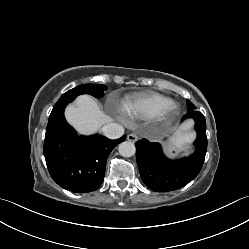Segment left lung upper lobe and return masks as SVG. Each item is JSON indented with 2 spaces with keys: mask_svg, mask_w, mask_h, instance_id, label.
I'll list each match as a JSON object with an SVG mask.
<instances>
[{
  "mask_svg": "<svg viewBox=\"0 0 249 249\" xmlns=\"http://www.w3.org/2000/svg\"><path fill=\"white\" fill-rule=\"evenodd\" d=\"M187 109H188V112H190V111L195 110L196 107L189 100H187Z\"/></svg>",
  "mask_w": 249,
  "mask_h": 249,
  "instance_id": "5c2ea615",
  "label": "left lung upper lobe"
}]
</instances>
